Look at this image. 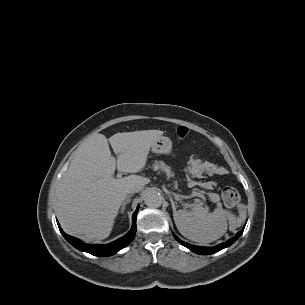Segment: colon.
<instances>
[{
    "instance_id": "obj_1",
    "label": "colon",
    "mask_w": 305,
    "mask_h": 305,
    "mask_svg": "<svg viewBox=\"0 0 305 305\" xmlns=\"http://www.w3.org/2000/svg\"><path fill=\"white\" fill-rule=\"evenodd\" d=\"M176 134L179 139H184L188 136L189 129L185 126H180L177 128ZM222 199L228 208L233 209L240 201V194L235 188L226 187L222 191Z\"/></svg>"
}]
</instances>
